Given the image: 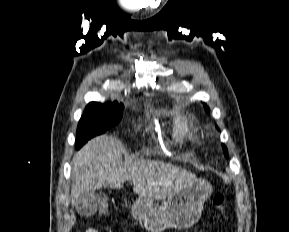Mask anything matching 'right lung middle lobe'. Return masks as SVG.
<instances>
[{
  "label": "right lung middle lobe",
  "mask_w": 289,
  "mask_h": 232,
  "mask_svg": "<svg viewBox=\"0 0 289 232\" xmlns=\"http://www.w3.org/2000/svg\"><path fill=\"white\" fill-rule=\"evenodd\" d=\"M123 105L115 102H91L81 117L76 138V148H81L92 137L106 132L122 119Z\"/></svg>",
  "instance_id": "dd1d6c3e"
}]
</instances>
